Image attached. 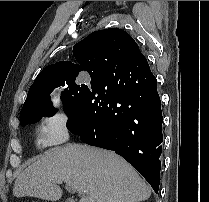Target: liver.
I'll return each instance as SVG.
<instances>
[{
	"mask_svg": "<svg viewBox=\"0 0 209 202\" xmlns=\"http://www.w3.org/2000/svg\"><path fill=\"white\" fill-rule=\"evenodd\" d=\"M58 178L76 190H85L80 202H139L148 199L151 189L138 173L111 151L68 143L39 155L17 177L13 195L59 200Z\"/></svg>",
	"mask_w": 209,
	"mask_h": 202,
	"instance_id": "liver-1",
	"label": "liver"
}]
</instances>
